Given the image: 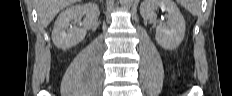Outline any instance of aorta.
I'll return each mask as SVG.
<instances>
[{"mask_svg": "<svg viewBox=\"0 0 232 96\" xmlns=\"http://www.w3.org/2000/svg\"><path fill=\"white\" fill-rule=\"evenodd\" d=\"M120 2L127 7L131 6L132 4V0H120Z\"/></svg>", "mask_w": 232, "mask_h": 96, "instance_id": "aorta-1", "label": "aorta"}]
</instances>
